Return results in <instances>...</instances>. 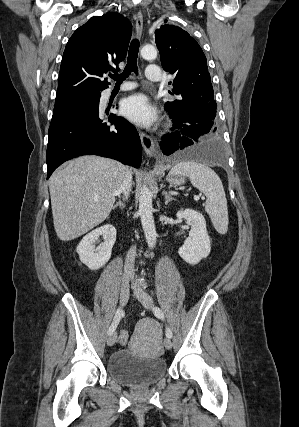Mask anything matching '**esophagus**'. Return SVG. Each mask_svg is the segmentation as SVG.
Returning a JSON list of instances; mask_svg holds the SVG:
<instances>
[{"instance_id":"obj_1","label":"esophagus","mask_w":299,"mask_h":427,"mask_svg":"<svg viewBox=\"0 0 299 427\" xmlns=\"http://www.w3.org/2000/svg\"><path fill=\"white\" fill-rule=\"evenodd\" d=\"M134 19H135V26H136V33L137 36L140 38L142 36V32H143V16L142 13L139 11L138 13H136L134 15ZM139 136L141 139V143L143 146V149L145 151V153L152 157L155 155V143L153 141V139L146 133L139 131Z\"/></svg>"}]
</instances>
